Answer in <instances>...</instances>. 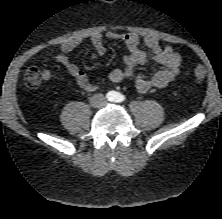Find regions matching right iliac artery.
<instances>
[{
	"label": "right iliac artery",
	"instance_id": "82829eb1",
	"mask_svg": "<svg viewBox=\"0 0 222 219\" xmlns=\"http://www.w3.org/2000/svg\"><path fill=\"white\" fill-rule=\"evenodd\" d=\"M109 96H110L109 98H111L113 96V94L110 93Z\"/></svg>",
	"mask_w": 222,
	"mask_h": 219
}]
</instances>
